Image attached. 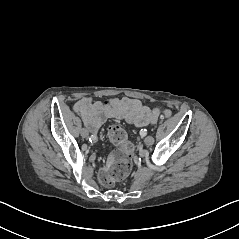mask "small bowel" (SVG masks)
<instances>
[{
	"mask_svg": "<svg viewBox=\"0 0 239 239\" xmlns=\"http://www.w3.org/2000/svg\"><path fill=\"white\" fill-rule=\"evenodd\" d=\"M74 110L92 132H96L108 119L123 120L136 127H143L156 123L160 115V109H150L140 100L127 97L104 102L82 97L74 104Z\"/></svg>",
	"mask_w": 239,
	"mask_h": 239,
	"instance_id": "1",
	"label": "small bowel"
}]
</instances>
